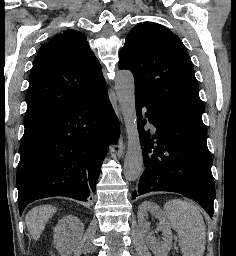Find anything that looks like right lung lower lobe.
Wrapping results in <instances>:
<instances>
[{
  "label": "right lung lower lobe",
  "mask_w": 236,
  "mask_h": 256,
  "mask_svg": "<svg viewBox=\"0 0 236 256\" xmlns=\"http://www.w3.org/2000/svg\"><path fill=\"white\" fill-rule=\"evenodd\" d=\"M119 133L106 88L24 132L16 176L20 215L29 203L46 197L87 201L108 145Z\"/></svg>",
  "instance_id": "1"
}]
</instances>
